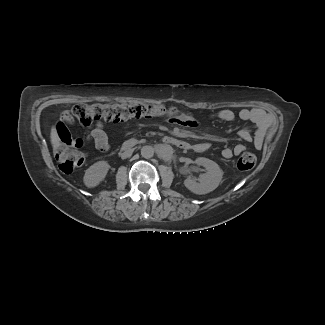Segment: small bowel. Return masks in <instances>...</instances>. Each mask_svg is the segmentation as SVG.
<instances>
[{"label": "small bowel", "mask_w": 325, "mask_h": 325, "mask_svg": "<svg viewBox=\"0 0 325 325\" xmlns=\"http://www.w3.org/2000/svg\"><path fill=\"white\" fill-rule=\"evenodd\" d=\"M67 113L64 112L63 116ZM239 117L242 121H250L253 122L258 129V132L260 134L263 133L264 129L269 123V117L267 114L260 110V109H242L238 113V115L229 109H223L220 111H217L213 114V118L217 121L222 122H232L236 119V117ZM186 125L190 127L196 126L195 121H190ZM56 131L58 133L59 140L61 143L72 147H80L83 148L86 145H89L94 142V145L96 149L100 152H107L110 148L109 141L107 134L104 130V125L102 122H97L95 124V127L90 131V133H86L83 136L70 134L68 131V127L65 121L60 120L56 124ZM240 136L244 140H249L251 137L250 131L248 129H243L240 133ZM192 148L196 152H205L209 149L208 143H196L192 145ZM245 150V146L243 144H237L233 148H225L222 150V156L225 159H230L233 156L239 155L241 152Z\"/></svg>", "instance_id": "c3829d8e"}]
</instances>
